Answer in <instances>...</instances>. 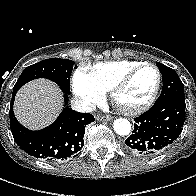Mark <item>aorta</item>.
I'll return each instance as SVG.
<instances>
[{
  "label": "aorta",
  "instance_id": "obj_1",
  "mask_svg": "<svg viewBox=\"0 0 196 196\" xmlns=\"http://www.w3.org/2000/svg\"><path fill=\"white\" fill-rule=\"evenodd\" d=\"M114 131L121 136H126L131 131V124L127 119L119 118L113 123Z\"/></svg>",
  "mask_w": 196,
  "mask_h": 196
}]
</instances>
